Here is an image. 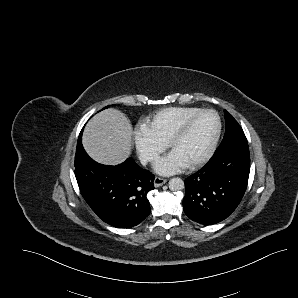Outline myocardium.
<instances>
[{
  "mask_svg": "<svg viewBox=\"0 0 298 298\" xmlns=\"http://www.w3.org/2000/svg\"><path fill=\"white\" fill-rule=\"evenodd\" d=\"M205 114H209L211 116H213L214 120H215V132L213 135V138L211 139V141L209 142L207 148L205 149V151L198 157L196 158L194 161H192L190 164L187 165L188 168H193L196 167L200 164H202L203 162H205L211 155L218 139L220 136V121L218 116L211 110H200L192 115H190L189 117L185 118L184 120H182L180 123H178L173 129L172 131L169 133V135L166 138L167 141V146L168 149L170 150L172 145L176 142V140L182 135V133L185 131V129L198 117L205 115Z\"/></svg>",
  "mask_w": 298,
  "mask_h": 298,
  "instance_id": "1",
  "label": "myocardium"
}]
</instances>
